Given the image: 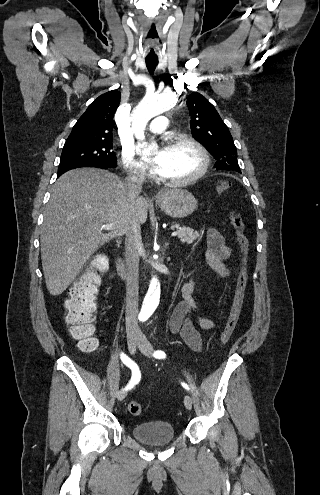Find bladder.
<instances>
[{
  "label": "bladder",
  "instance_id": "1",
  "mask_svg": "<svg viewBox=\"0 0 320 495\" xmlns=\"http://www.w3.org/2000/svg\"><path fill=\"white\" fill-rule=\"evenodd\" d=\"M132 434L145 444H166L175 438V429L171 423L166 421H149L136 424L132 429Z\"/></svg>",
  "mask_w": 320,
  "mask_h": 495
}]
</instances>
